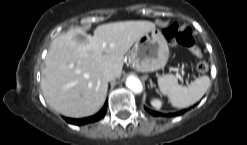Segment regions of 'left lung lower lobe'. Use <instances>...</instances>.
I'll return each mask as SVG.
<instances>
[{"instance_id": "1", "label": "left lung lower lobe", "mask_w": 247, "mask_h": 145, "mask_svg": "<svg viewBox=\"0 0 247 145\" xmlns=\"http://www.w3.org/2000/svg\"><path fill=\"white\" fill-rule=\"evenodd\" d=\"M145 110L146 111H148L150 114H152V115H155V116H157V115H160V113H157V112H154V111H151V110H149L148 108H146L145 107ZM184 112V110L183 111H181V112H179V113H177V114H169V115H178V114H181V113H183Z\"/></svg>"}]
</instances>
